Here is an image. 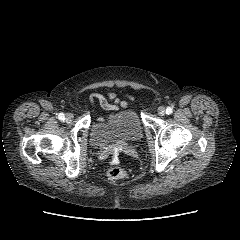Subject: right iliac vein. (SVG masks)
I'll return each mask as SVG.
<instances>
[{"label":"right iliac vein","mask_w":240,"mask_h":240,"mask_svg":"<svg viewBox=\"0 0 240 240\" xmlns=\"http://www.w3.org/2000/svg\"><path fill=\"white\" fill-rule=\"evenodd\" d=\"M73 120V114L67 113L65 116V121L66 122H71Z\"/></svg>","instance_id":"63e3f726"}]
</instances>
